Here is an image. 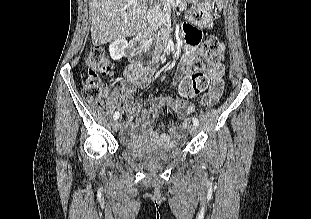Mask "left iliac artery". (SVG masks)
<instances>
[{"label": "left iliac artery", "instance_id": "left-iliac-artery-1", "mask_svg": "<svg viewBox=\"0 0 311 219\" xmlns=\"http://www.w3.org/2000/svg\"><path fill=\"white\" fill-rule=\"evenodd\" d=\"M192 122H193V124L196 125V126L199 125V121H198V119H197L196 117H194V118L192 119Z\"/></svg>", "mask_w": 311, "mask_h": 219}]
</instances>
